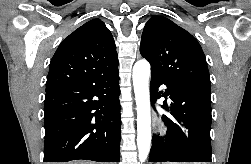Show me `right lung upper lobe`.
Instances as JSON below:
<instances>
[{
  "mask_svg": "<svg viewBox=\"0 0 251 164\" xmlns=\"http://www.w3.org/2000/svg\"><path fill=\"white\" fill-rule=\"evenodd\" d=\"M118 67L116 46L104 22L93 19L71 33L56 50L46 91Z\"/></svg>",
  "mask_w": 251,
  "mask_h": 164,
  "instance_id": "right-lung-upper-lobe-1",
  "label": "right lung upper lobe"
}]
</instances>
